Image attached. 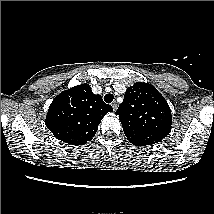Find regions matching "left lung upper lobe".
Here are the masks:
<instances>
[{
	"mask_svg": "<svg viewBox=\"0 0 214 214\" xmlns=\"http://www.w3.org/2000/svg\"><path fill=\"white\" fill-rule=\"evenodd\" d=\"M116 114L128 140L137 146L160 142L171 131L172 115L165 98L151 84L128 87Z\"/></svg>",
	"mask_w": 214,
	"mask_h": 214,
	"instance_id": "1",
	"label": "left lung upper lobe"
}]
</instances>
